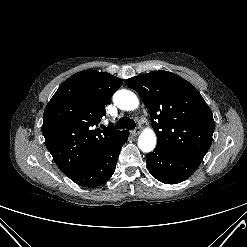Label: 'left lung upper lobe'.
I'll list each match as a JSON object with an SVG mask.
<instances>
[{"label":"left lung upper lobe","mask_w":247,"mask_h":247,"mask_svg":"<svg viewBox=\"0 0 247 247\" xmlns=\"http://www.w3.org/2000/svg\"><path fill=\"white\" fill-rule=\"evenodd\" d=\"M125 83L147 107L157 145L200 160L204 158L212 143L214 120L192 84L168 71H152Z\"/></svg>","instance_id":"5c2ea615"}]
</instances>
